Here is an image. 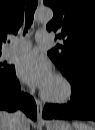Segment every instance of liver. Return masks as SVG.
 Listing matches in <instances>:
<instances>
[{"instance_id":"liver-1","label":"liver","mask_w":95,"mask_h":130,"mask_svg":"<svg viewBox=\"0 0 95 130\" xmlns=\"http://www.w3.org/2000/svg\"><path fill=\"white\" fill-rule=\"evenodd\" d=\"M12 114L1 111L0 112V130H13ZM21 130H30V120L24 117L21 123Z\"/></svg>"}]
</instances>
